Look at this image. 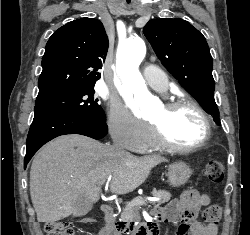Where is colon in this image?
Instances as JSON below:
<instances>
[{
	"label": "colon",
	"mask_w": 250,
	"mask_h": 235,
	"mask_svg": "<svg viewBox=\"0 0 250 235\" xmlns=\"http://www.w3.org/2000/svg\"><path fill=\"white\" fill-rule=\"evenodd\" d=\"M205 178L212 183H219L223 179V168L218 161L209 162L204 168ZM222 214L221 206L212 204L203 213V218L209 225L217 226L220 223ZM83 223H91L92 220L86 218ZM47 235H75L74 226L67 221L47 222L45 224Z\"/></svg>",
	"instance_id": "1"
}]
</instances>
